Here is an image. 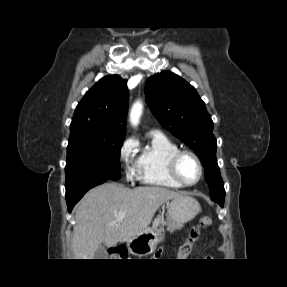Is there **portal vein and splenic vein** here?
<instances>
[{
	"label": "portal vein and splenic vein",
	"instance_id": "1",
	"mask_svg": "<svg viewBox=\"0 0 287 287\" xmlns=\"http://www.w3.org/2000/svg\"><path fill=\"white\" fill-rule=\"evenodd\" d=\"M126 213L125 212H121L119 213L118 217H117V221H121L123 220V218L125 217Z\"/></svg>",
	"mask_w": 287,
	"mask_h": 287
}]
</instances>
